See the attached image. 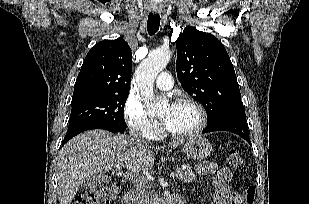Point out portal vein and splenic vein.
Returning <instances> with one entry per match:
<instances>
[{
	"label": "portal vein and splenic vein",
	"instance_id": "obj_1",
	"mask_svg": "<svg viewBox=\"0 0 309 204\" xmlns=\"http://www.w3.org/2000/svg\"><path fill=\"white\" fill-rule=\"evenodd\" d=\"M121 169H122V167L115 168L114 172L116 173V175H122V173L120 172ZM123 175H124V177H126L129 180H133V179L136 180V181L138 180V177L135 174H133L132 172H127V173H124ZM170 175L174 177L175 172H171ZM139 181H144V179L140 178Z\"/></svg>",
	"mask_w": 309,
	"mask_h": 204
}]
</instances>
